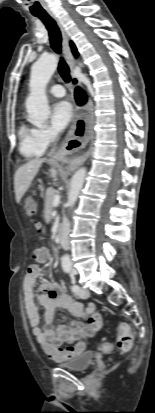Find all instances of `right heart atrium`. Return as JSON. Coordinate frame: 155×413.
Instances as JSON below:
<instances>
[{"label":"right heart atrium","instance_id":"d8ad5b80","mask_svg":"<svg viewBox=\"0 0 155 413\" xmlns=\"http://www.w3.org/2000/svg\"><path fill=\"white\" fill-rule=\"evenodd\" d=\"M35 135L43 150L50 147L57 140V133L48 126L35 129Z\"/></svg>","mask_w":155,"mask_h":413}]
</instances>
